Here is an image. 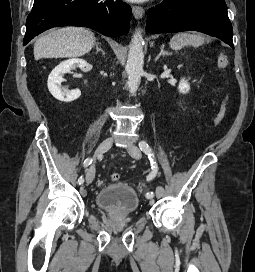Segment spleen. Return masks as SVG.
<instances>
[{
    "mask_svg": "<svg viewBox=\"0 0 255 272\" xmlns=\"http://www.w3.org/2000/svg\"><path fill=\"white\" fill-rule=\"evenodd\" d=\"M204 43V37L200 34L179 33L173 36L170 41V47L174 50H180L185 46L198 47Z\"/></svg>",
    "mask_w": 255,
    "mask_h": 272,
    "instance_id": "spleen-1",
    "label": "spleen"
}]
</instances>
